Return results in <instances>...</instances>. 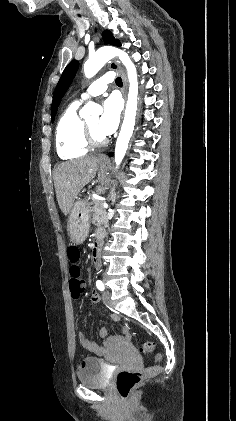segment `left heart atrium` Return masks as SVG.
<instances>
[{
	"label": "left heart atrium",
	"instance_id": "obj_1",
	"mask_svg": "<svg viewBox=\"0 0 236 421\" xmlns=\"http://www.w3.org/2000/svg\"><path fill=\"white\" fill-rule=\"evenodd\" d=\"M120 121V105L115 97H109L103 103V113L98 122V129L104 136L112 134Z\"/></svg>",
	"mask_w": 236,
	"mask_h": 421
}]
</instances>
